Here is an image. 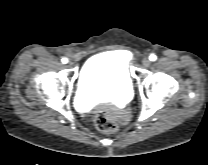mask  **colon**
<instances>
[{"label":"colon","mask_w":208,"mask_h":165,"mask_svg":"<svg viewBox=\"0 0 208 165\" xmlns=\"http://www.w3.org/2000/svg\"><path fill=\"white\" fill-rule=\"evenodd\" d=\"M95 125L97 129L103 133H113L118 128L114 117L107 109H102L97 112Z\"/></svg>","instance_id":"obj_1"}]
</instances>
